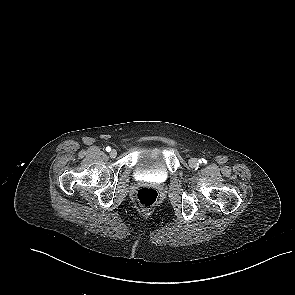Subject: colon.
I'll return each mask as SVG.
<instances>
[{
  "label": "colon",
  "mask_w": 295,
  "mask_h": 295,
  "mask_svg": "<svg viewBox=\"0 0 295 295\" xmlns=\"http://www.w3.org/2000/svg\"><path fill=\"white\" fill-rule=\"evenodd\" d=\"M136 199L140 206L150 208L158 200V192L153 188H141L136 193Z\"/></svg>",
  "instance_id": "1"
}]
</instances>
